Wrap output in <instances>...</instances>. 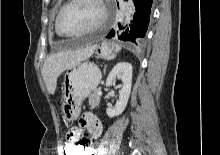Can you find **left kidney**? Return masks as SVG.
Here are the masks:
<instances>
[{"instance_id": "left-kidney-1", "label": "left kidney", "mask_w": 220, "mask_h": 155, "mask_svg": "<svg viewBox=\"0 0 220 155\" xmlns=\"http://www.w3.org/2000/svg\"><path fill=\"white\" fill-rule=\"evenodd\" d=\"M116 78L121 79L123 84L115 107L106 109V113L110 118L119 116L127 106L132 86V65L128 62L117 63L107 77L106 86H112Z\"/></svg>"}]
</instances>
